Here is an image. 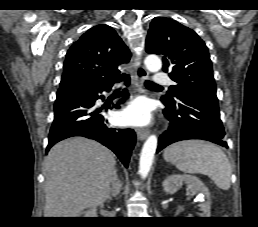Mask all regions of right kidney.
<instances>
[{
    "instance_id": "obj_1",
    "label": "right kidney",
    "mask_w": 258,
    "mask_h": 227,
    "mask_svg": "<svg viewBox=\"0 0 258 227\" xmlns=\"http://www.w3.org/2000/svg\"><path fill=\"white\" fill-rule=\"evenodd\" d=\"M84 214H85L84 217H96L97 216L96 208L93 207L90 210H88L87 212H85Z\"/></svg>"
}]
</instances>
